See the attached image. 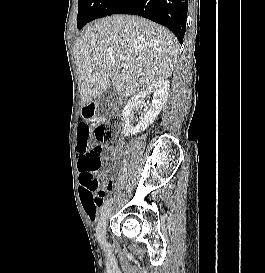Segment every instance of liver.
<instances>
[{"mask_svg":"<svg viewBox=\"0 0 265 273\" xmlns=\"http://www.w3.org/2000/svg\"><path fill=\"white\" fill-rule=\"evenodd\" d=\"M179 47L167 28L142 17L113 15L94 21L74 44L82 105L111 86L119 97H127L168 78ZM122 64L127 68L121 71Z\"/></svg>","mask_w":265,"mask_h":273,"instance_id":"liver-1","label":"liver"}]
</instances>
